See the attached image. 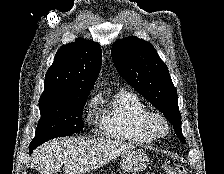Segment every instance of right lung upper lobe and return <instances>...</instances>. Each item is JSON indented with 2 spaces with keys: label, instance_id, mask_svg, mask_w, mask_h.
<instances>
[{
  "label": "right lung upper lobe",
  "instance_id": "right-lung-upper-lobe-1",
  "mask_svg": "<svg viewBox=\"0 0 224 174\" xmlns=\"http://www.w3.org/2000/svg\"><path fill=\"white\" fill-rule=\"evenodd\" d=\"M102 63L97 43L78 39L63 45L45 76L41 100H65L89 95Z\"/></svg>",
  "mask_w": 224,
  "mask_h": 174
}]
</instances>
